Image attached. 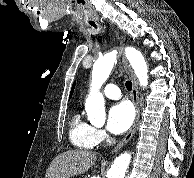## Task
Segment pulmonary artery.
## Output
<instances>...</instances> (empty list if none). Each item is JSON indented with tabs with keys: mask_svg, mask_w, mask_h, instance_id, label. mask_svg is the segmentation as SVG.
Masks as SVG:
<instances>
[{
	"mask_svg": "<svg viewBox=\"0 0 194 178\" xmlns=\"http://www.w3.org/2000/svg\"><path fill=\"white\" fill-rule=\"evenodd\" d=\"M104 95L109 99H119L121 91L115 84H108L104 89Z\"/></svg>",
	"mask_w": 194,
	"mask_h": 178,
	"instance_id": "pulmonary-artery-1",
	"label": "pulmonary artery"
}]
</instances>
